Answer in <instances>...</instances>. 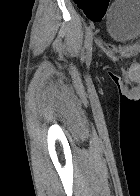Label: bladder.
I'll use <instances>...</instances> for the list:
<instances>
[{
	"label": "bladder",
	"mask_w": 140,
	"mask_h": 196,
	"mask_svg": "<svg viewBox=\"0 0 140 196\" xmlns=\"http://www.w3.org/2000/svg\"><path fill=\"white\" fill-rule=\"evenodd\" d=\"M110 38L120 44L132 46L140 41V0H116L107 14Z\"/></svg>",
	"instance_id": "bladder-1"
}]
</instances>
